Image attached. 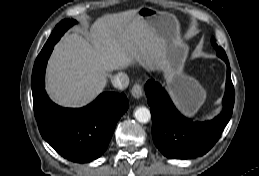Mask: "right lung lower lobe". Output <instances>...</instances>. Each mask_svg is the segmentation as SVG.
Wrapping results in <instances>:
<instances>
[{
	"label": "right lung lower lobe",
	"mask_w": 259,
	"mask_h": 176,
	"mask_svg": "<svg viewBox=\"0 0 259 176\" xmlns=\"http://www.w3.org/2000/svg\"><path fill=\"white\" fill-rule=\"evenodd\" d=\"M60 39V38H59ZM58 40L45 44L32 72L34 114L42 137L64 158L86 163L107 149L115 126L128 109L124 93L105 92L80 109L62 108L45 92L47 60Z\"/></svg>",
	"instance_id": "1"
}]
</instances>
